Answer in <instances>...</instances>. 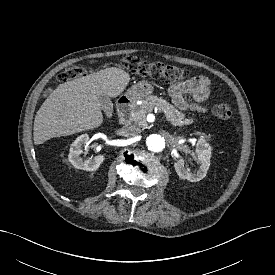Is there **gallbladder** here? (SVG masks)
Listing matches in <instances>:
<instances>
[{
    "mask_svg": "<svg viewBox=\"0 0 275 275\" xmlns=\"http://www.w3.org/2000/svg\"><path fill=\"white\" fill-rule=\"evenodd\" d=\"M99 101L101 103L102 110L108 115L113 112V103L108 96H100Z\"/></svg>",
    "mask_w": 275,
    "mask_h": 275,
    "instance_id": "obj_1",
    "label": "gallbladder"
}]
</instances>
